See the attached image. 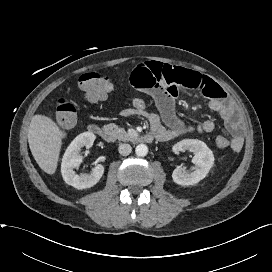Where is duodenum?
I'll return each instance as SVG.
<instances>
[{
	"instance_id": "1",
	"label": "duodenum",
	"mask_w": 272,
	"mask_h": 272,
	"mask_svg": "<svg viewBox=\"0 0 272 272\" xmlns=\"http://www.w3.org/2000/svg\"><path fill=\"white\" fill-rule=\"evenodd\" d=\"M88 131L92 134L97 135L101 139L111 142L113 140L112 135L103 127L92 124L88 127ZM154 139H157L156 135L153 132L145 133L138 135L134 138V141L137 143H151L154 141Z\"/></svg>"
}]
</instances>
